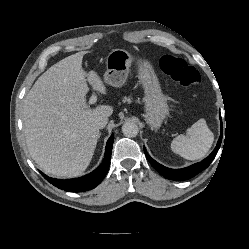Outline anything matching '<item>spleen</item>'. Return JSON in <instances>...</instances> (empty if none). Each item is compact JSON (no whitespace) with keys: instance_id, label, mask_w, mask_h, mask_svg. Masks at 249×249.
Segmentation results:
<instances>
[{"instance_id":"1","label":"spleen","mask_w":249,"mask_h":249,"mask_svg":"<svg viewBox=\"0 0 249 249\" xmlns=\"http://www.w3.org/2000/svg\"><path fill=\"white\" fill-rule=\"evenodd\" d=\"M213 141L214 135L205 119H199L187 130L186 135H178L172 140L171 149L187 160H198L208 153Z\"/></svg>"}]
</instances>
